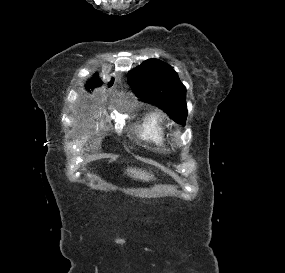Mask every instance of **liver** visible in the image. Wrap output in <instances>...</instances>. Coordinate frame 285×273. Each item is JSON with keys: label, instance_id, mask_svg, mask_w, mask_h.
<instances>
[{"label": "liver", "instance_id": "obj_1", "mask_svg": "<svg viewBox=\"0 0 285 273\" xmlns=\"http://www.w3.org/2000/svg\"><path fill=\"white\" fill-rule=\"evenodd\" d=\"M127 173L132 176L135 179H140L143 181H150L153 179V175L146 172L142 171L141 169H136V168H128Z\"/></svg>", "mask_w": 285, "mask_h": 273}]
</instances>
